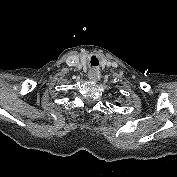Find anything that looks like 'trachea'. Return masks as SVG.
Instances as JSON below:
<instances>
[{
	"label": "trachea",
	"mask_w": 177,
	"mask_h": 177,
	"mask_svg": "<svg viewBox=\"0 0 177 177\" xmlns=\"http://www.w3.org/2000/svg\"><path fill=\"white\" fill-rule=\"evenodd\" d=\"M91 64H92L93 66H97V65L99 64V62H98V60H97L95 57H93V58L91 59Z\"/></svg>",
	"instance_id": "3493384b"
}]
</instances>
